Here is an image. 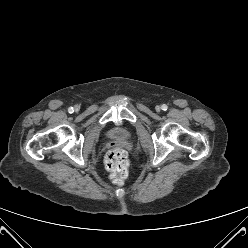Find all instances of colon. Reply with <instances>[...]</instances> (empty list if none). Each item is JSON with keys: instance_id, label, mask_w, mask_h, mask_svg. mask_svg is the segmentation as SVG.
I'll return each instance as SVG.
<instances>
[{"instance_id": "obj_1", "label": "colon", "mask_w": 248, "mask_h": 248, "mask_svg": "<svg viewBox=\"0 0 248 248\" xmlns=\"http://www.w3.org/2000/svg\"><path fill=\"white\" fill-rule=\"evenodd\" d=\"M105 165L115 183H122L128 177L127 154L123 149H111L105 157Z\"/></svg>"}]
</instances>
